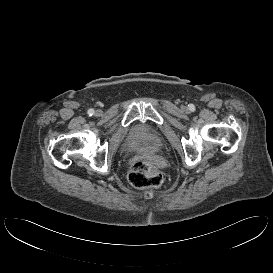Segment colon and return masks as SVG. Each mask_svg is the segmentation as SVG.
Listing matches in <instances>:
<instances>
[{
    "instance_id": "colon-1",
    "label": "colon",
    "mask_w": 273,
    "mask_h": 273,
    "mask_svg": "<svg viewBox=\"0 0 273 273\" xmlns=\"http://www.w3.org/2000/svg\"><path fill=\"white\" fill-rule=\"evenodd\" d=\"M127 179L136 188H155L163 183L161 172L144 160H137L129 166Z\"/></svg>"
}]
</instances>
